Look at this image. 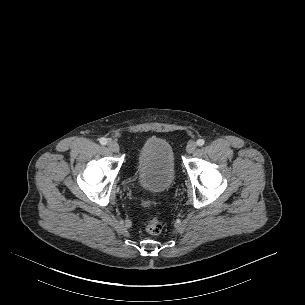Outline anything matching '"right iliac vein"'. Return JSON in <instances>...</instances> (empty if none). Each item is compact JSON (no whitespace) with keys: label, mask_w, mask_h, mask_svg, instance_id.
I'll return each mask as SVG.
<instances>
[{"label":"right iliac vein","mask_w":305,"mask_h":305,"mask_svg":"<svg viewBox=\"0 0 305 305\" xmlns=\"http://www.w3.org/2000/svg\"><path fill=\"white\" fill-rule=\"evenodd\" d=\"M107 147L112 151V152H119V145L115 141H108Z\"/></svg>","instance_id":"1"}]
</instances>
